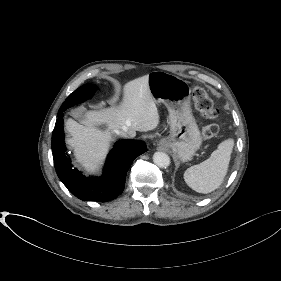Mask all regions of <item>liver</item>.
<instances>
[{
  "label": "liver",
  "instance_id": "obj_1",
  "mask_svg": "<svg viewBox=\"0 0 281 281\" xmlns=\"http://www.w3.org/2000/svg\"><path fill=\"white\" fill-rule=\"evenodd\" d=\"M101 124L113 132L127 128L134 135L136 131L146 132L158 126L159 114L149 90L148 75L124 85L120 106L88 111L81 123L66 121V129L72 136L67 143L74 149L78 163L89 172L99 167L110 147L111 132L96 128Z\"/></svg>",
  "mask_w": 281,
  "mask_h": 281
}]
</instances>
